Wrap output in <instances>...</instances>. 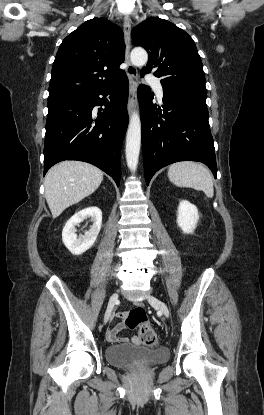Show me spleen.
Wrapping results in <instances>:
<instances>
[{
    "instance_id": "spleen-1",
    "label": "spleen",
    "mask_w": 264,
    "mask_h": 415,
    "mask_svg": "<svg viewBox=\"0 0 264 415\" xmlns=\"http://www.w3.org/2000/svg\"><path fill=\"white\" fill-rule=\"evenodd\" d=\"M168 177L178 187L201 190L209 198L214 195L212 176L202 164L191 161L174 163L168 169Z\"/></svg>"
}]
</instances>
